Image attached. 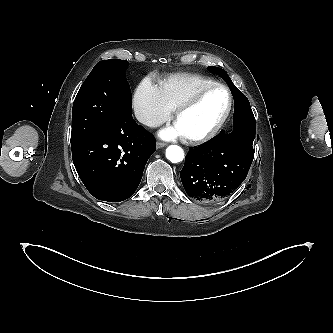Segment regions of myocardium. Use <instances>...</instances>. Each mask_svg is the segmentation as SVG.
Listing matches in <instances>:
<instances>
[{"label": "myocardium", "mask_w": 333, "mask_h": 333, "mask_svg": "<svg viewBox=\"0 0 333 333\" xmlns=\"http://www.w3.org/2000/svg\"><path fill=\"white\" fill-rule=\"evenodd\" d=\"M222 88L227 92L228 95V105L226 108V111L224 112L221 119L215 124L213 128H211L209 131H207L204 134L197 135V136H185V139L191 143V144H202L205 142H208L215 138L219 132L222 130V128L225 126L226 122L228 121L233 105H234V98L233 94L230 90V88L222 83H213L208 86H205L201 89H199L197 92H195L191 97H189L186 101H184L178 108L175 110L174 114V122L176 123L177 120L180 118L181 115H183L185 112L193 108L195 105L199 103V101L210 91Z\"/></svg>", "instance_id": "1"}]
</instances>
